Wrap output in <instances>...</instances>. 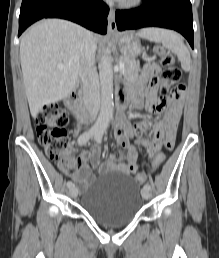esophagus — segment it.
I'll list each match as a JSON object with an SVG mask.
<instances>
[{
    "instance_id": "obj_1",
    "label": "esophagus",
    "mask_w": 219,
    "mask_h": 258,
    "mask_svg": "<svg viewBox=\"0 0 219 258\" xmlns=\"http://www.w3.org/2000/svg\"><path fill=\"white\" fill-rule=\"evenodd\" d=\"M117 29L115 22V10L111 7L108 14V32L114 33Z\"/></svg>"
}]
</instances>
